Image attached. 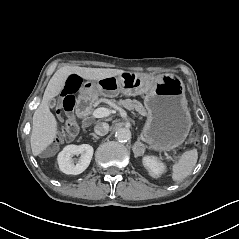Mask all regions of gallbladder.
<instances>
[{
  "label": "gallbladder",
  "instance_id": "bac80fb5",
  "mask_svg": "<svg viewBox=\"0 0 239 239\" xmlns=\"http://www.w3.org/2000/svg\"><path fill=\"white\" fill-rule=\"evenodd\" d=\"M56 105H57L56 99L52 98V99H50V100L48 101V106H49V108H55Z\"/></svg>",
  "mask_w": 239,
  "mask_h": 239
}]
</instances>
